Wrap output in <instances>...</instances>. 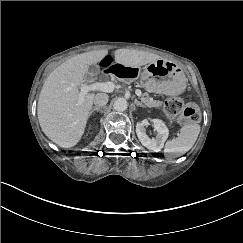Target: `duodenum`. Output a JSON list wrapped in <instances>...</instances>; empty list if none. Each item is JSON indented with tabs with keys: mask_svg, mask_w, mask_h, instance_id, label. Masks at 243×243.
I'll list each match as a JSON object with an SVG mask.
<instances>
[{
	"mask_svg": "<svg viewBox=\"0 0 243 243\" xmlns=\"http://www.w3.org/2000/svg\"><path fill=\"white\" fill-rule=\"evenodd\" d=\"M137 69L124 64L117 63L105 70V73L120 80L132 79L137 75Z\"/></svg>",
	"mask_w": 243,
	"mask_h": 243,
	"instance_id": "obj_1",
	"label": "duodenum"
}]
</instances>
